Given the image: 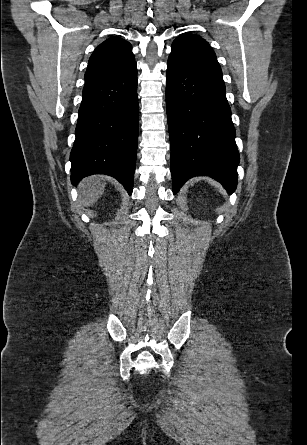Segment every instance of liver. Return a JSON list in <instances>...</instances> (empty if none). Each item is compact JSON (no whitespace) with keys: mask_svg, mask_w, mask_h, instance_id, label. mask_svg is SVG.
I'll list each match as a JSON object with an SVG mask.
<instances>
[{"mask_svg":"<svg viewBox=\"0 0 307 445\" xmlns=\"http://www.w3.org/2000/svg\"><path fill=\"white\" fill-rule=\"evenodd\" d=\"M100 174L87 176L80 184V198L84 206H92L104 192L105 182H102Z\"/></svg>","mask_w":307,"mask_h":445,"instance_id":"6515ba94","label":"liver"}]
</instances>
